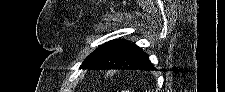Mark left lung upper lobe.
I'll return each mask as SVG.
<instances>
[{"label": "left lung upper lobe", "instance_id": "left-lung-upper-lobe-1", "mask_svg": "<svg viewBox=\"0 0 225 92\" xmlns=\"http://www.w3.org/2000/svg\"><path fill=\"white\" fill-rule=\"evenodd\" d=\"M130 42L125 40H113L99 46L94 52H92L82 63L80 69H95L105 59L110 57L113 53L121 49L123 46Z\"/></svg>", "mask_w": 225, "mask_h": 92}]
</instances>
